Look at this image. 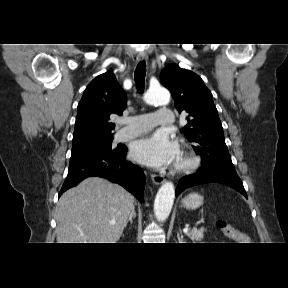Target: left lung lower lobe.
<instances>
[{
  "label": "left lung lower lobe",
  "mask_w": 288,
  "mask_h": 288,
  "mask_svg": "<svg viewBox=\"0 0 288 288\" xmlns=\"http://www.w3.org/2000/svg\"><path fill=\"white\" fill-rule=\"evenodd\" d=\"M211 182L221 183L234 188L247 198L242 181L237 173L218 167H211L207 169L200 168L195 174L181 178L176 189V195L180 194L186 188Z\"/></svg>",
  "instance_id": "1"
}]
</instances>
